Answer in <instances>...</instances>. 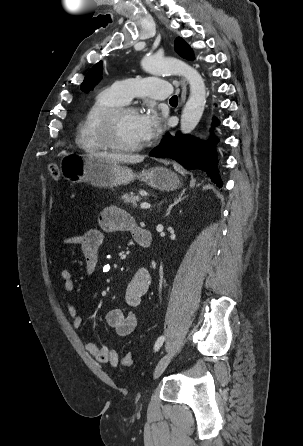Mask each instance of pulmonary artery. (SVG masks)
<instances>
[{"mask_svg": "<svg viewBox=\"0 0 303 446\" xmlns=\"http://www.w3.org/2000/svg\"><path fill=\"white\" fill-rule=\"evenodd\" d=\"M112 87L125 103L145 96L163 100L171 94L170 84L156 77L128 78L115 82Z\"/></svg>", "mask_w": 303, "mask_h": 446, "instance_id": "1", "label": "pulmonary artery"}]
</instances>
